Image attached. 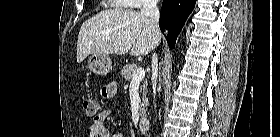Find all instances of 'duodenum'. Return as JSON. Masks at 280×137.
I'll list each match as a JSON object with an SVG mask.
<instances>
[{
    "mask_svg": "<svg viewBox=\"0 0 280 137\" xmlns=\"http://www.w3.org/2000/svg\"><path fill=\"white\" fill-rule=\"evenodd\" d=\"M149 129H150V120L147 118L142 119L139 123V130L142 133H147Z\"/></svg>",
    "mask_w": 280,
    "mask_h": 137,
    "instance_id": "410a0bca",
    "label": "duodenum"
}]
</instances>
